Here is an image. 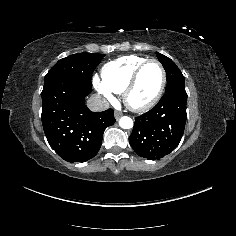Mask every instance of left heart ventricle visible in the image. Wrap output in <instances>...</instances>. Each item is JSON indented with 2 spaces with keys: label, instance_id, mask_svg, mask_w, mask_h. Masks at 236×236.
Returning a JSON list of instances; mask_svg holds the SVG:
<instances>
[{
  "label": "left heart ventricle",
  "instance_id": "b2bd125f",
  "mask_svg": "<svg viewBox=\"0 0 236 236\" xmlns=\"http://www.w3.org/2000/svg\"><path fill=\"white\" fill-rule=\"evenodd\" d=\"M162 73L156 63L148 64L139 75L137 83L130 94V101L134 104H144L149 102L156 94Z\"/></svg>",
  "mask_w": 236,
  "mask_h": 236
}]
</instances>
